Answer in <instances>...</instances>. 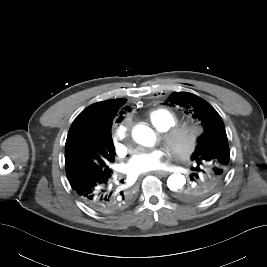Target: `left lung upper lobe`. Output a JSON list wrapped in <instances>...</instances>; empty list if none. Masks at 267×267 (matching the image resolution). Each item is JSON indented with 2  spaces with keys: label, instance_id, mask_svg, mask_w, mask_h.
<instances>
[{
  "label": "left lung upper lobe",
  "instance_id": "obj_1",
  "mask_svg": "<svg viewBox=\"0 0 267 267\" xmlns=\"http://www.w3.org/2000/svg\"><path fill=\"white\" fill-rule=\"evenodd\" d=\"M168 101L170 106L189 110L203 127L191 156L192 182L179 190L177 196L187 201L207 198L219 188L229 170L230 152L224 123L209 103L192 93L174 92Z\"/></svg>",
  "mask_w": 267,
  "mask_h": 267
}]
</instances>
